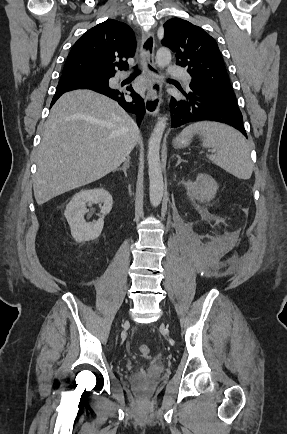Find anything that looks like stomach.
Listing matches in <instances>:
<instances>
[{"mask_svg":"<svg viewBox=\"0 0 287 434\" xmlns=\"http://www.w3.org/2000/svg\"><path fill=\"white\" fill-rule=\"evenodd\" d=\"M192 135H182L180 134L173 140V146L176 149H181L187 147L191 143Z\"/></svg>","mask_w":287,"mask_h":434,"instance_id":"obj_1","label":"stomach"}]
</instances>
